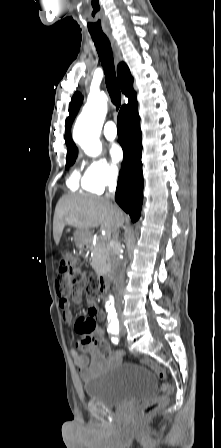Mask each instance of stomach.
Here are the masks:
<instances>
[{"instance_id":"0dacf381","label":"stomach","mask_w":221,"mask_h":448,"mask_svg":"<svg viewBox=\"0 0 221 448\" xmlns=\"http://www.w3.org/2000/svg\"><path fill=\"white\" fill-rule=\"evenodd\" d=\"M90 237H91V233L89 230L78 229V230H76V232L74 234L75 241L78 245H84L85 243L88 242Z\"/></svg>"}]
</instances>
